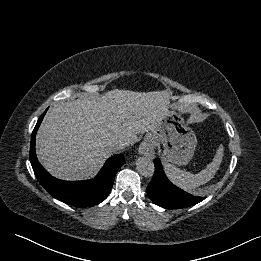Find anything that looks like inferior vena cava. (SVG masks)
<instances>
[{"mask_svg": "<svg viewBox=\"0 0 261 261\" xmlns=\"http://www.w3.org/2000/svg\"><path fill=\"white\" fill-rule=\"evenodd\" d=\"M128 143L123 141V140H117L114 142L113 144V148L115 150H121V149H124L125 147H127Z\"/></svg>", "mask_w": 261, "mask_h": 261, "instance_id": "1", "label": "inferior vena cava"}]
</instances>
